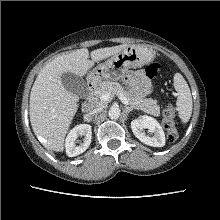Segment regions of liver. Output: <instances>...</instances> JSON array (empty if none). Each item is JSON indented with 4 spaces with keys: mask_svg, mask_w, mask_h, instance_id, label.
<instances>
[{
    "mask_svg": "<svg viewBox=\"0 0 220 220\" xmlns=\"http://www.w3.org/2000/svg\"><path fill=\"white\" fill-rule=\"evenodd\" d=\"M129 45L106 47L93 50L78 49L58 56L38 74L30 93V122L37 137L45 139L47 149L64 150L65 135L79 107V97L62 84V75L73 73L85 76L95 62L121 52Z\"/></svg>",
    "mask_w": 220,
    "mask_h": 220,
    "instance_id": "1",
    "label": "liver"
}]
</instances>
